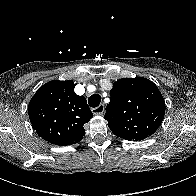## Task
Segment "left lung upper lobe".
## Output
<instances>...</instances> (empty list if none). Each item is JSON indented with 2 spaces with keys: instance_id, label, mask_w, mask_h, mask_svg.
<instances>
[{
  "instance_id": "left-lung-upper-lobe-1",
  "label": "left lung upper lobe",
  "mask_w": 196,
  "mask_h": 196,
  "mask_svg": "<svg viewBox=\"0 0 196 196\" xmlns=\"http://www.w3.org/2000/svg\"><path fill=\"white\" fill-rule=\"evenodd\" d=\"M110 93L105 119L117 137L140 141L156 132L165 115V101L152 81L122 78Z\"/></svg>"
}]
</instances>
